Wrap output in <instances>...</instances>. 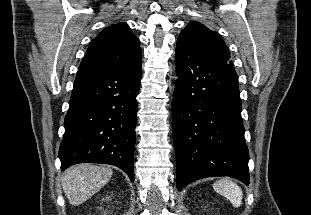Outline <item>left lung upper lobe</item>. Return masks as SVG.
<instances>
[{
  "mask_svg": "<svg viewBox=\"0 0 311 215\" xmlns=\"http://www.w3.org/2000/svg\"><path fill=\"white\" fill-rule=\"evenodd\" d=\"M179 38L185 39L190 43L203 48L209 53L227 61L234 68L230 60V52L221 36L208 29L199 22L191 21L179 35Z\"/></svg>",
  "mask_w": 311,
  "mask_h": 215,
  "instance_id": "1",
  "label": "left lung upper lobe"
}]
</instances>
